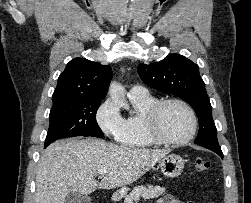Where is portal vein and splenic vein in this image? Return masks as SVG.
I'll list each match as a JSON object with an SVG mask.
<instances>
[{"instance_id":"1","label":"portal vein and splenic vein","mask_w":251,"mask_h":203,"mask_svg":"<svg viewBox=\"0 0 251 203\" xmlns=\"http://www.w3.org/2000/svg\"><path fill=\"white\" fill-rule=\"evenodd\" d=\"M109 171H108V169H106V168H101V169H99L98 170V174H100V175H105V174H107Z\"/></svg>"}]
</instances>
